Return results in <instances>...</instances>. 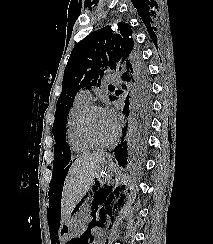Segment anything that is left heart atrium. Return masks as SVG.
<instances>
[{
	"mask_svg": "<svg viewBox=\"0 0 213 244\" xmlns=\"http://www.w3.org/2000/svg\"><path fill=\"white\" fill-rule=\"evenodd\" d=\"M105 116L107 118V120L112 124L115 125L116 124V117H115V113L112 109L108 108L104 110Z\"/></svg>",
	"mask_w": 213,
	"mask_h": 244,
	"instance_id": "obj_1",
	"label": "left heart atrium"
}]
</instances>
